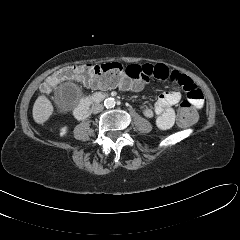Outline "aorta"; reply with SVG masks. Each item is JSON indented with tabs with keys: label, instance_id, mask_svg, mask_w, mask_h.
<instances>
[{
	"label": "aorta",
	"instance_id": "obj_1",
	"mask_svg": "<svg viewBox=\"0 0 240 240\" xmlns=\"http://www.w3.org/2000/svg\"><path fill=\"white\" fill-rule=\"evenodd\" d=\"M115 103V99L111 97L104 100V106L106 108H113L115 106Z\"/></svg>",
	"mask_w": 240,
	"mask_h": 240
}]
</instances>
